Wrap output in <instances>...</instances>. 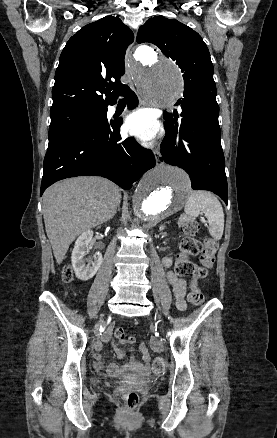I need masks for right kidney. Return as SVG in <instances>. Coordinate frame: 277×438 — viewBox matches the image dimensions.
<instances>
[{"mask_svg": "<svg viewBox=\"0 0 277 438\" xmlns=\"http://www.w3.org/2000/svg\"><path fill=\"white\" fill-rule=\"evenodd\" d=\"M92 238L93 232H91V230H85V232L77 238L71 256V262L76 278H78V280H83V282L91 280V278L97 274L103 262L102 254H99V252H96L93 258H85L87 252L92 250V246H90ZM86 262H88L87 266Z\"/></svg>", "mask_w": 277, "mask_h": 438, "instance_id": "ca27d5eb", "label": "right kidney"}]
</instances>
